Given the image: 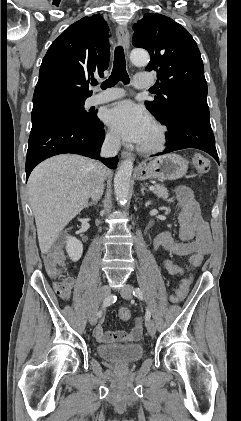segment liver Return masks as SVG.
<instances>
[{"mask_svg":"<svg viewBox=\"0 0 241 421\" xmlns=\"http://www.w3.org/2000/svg\"><path fill=\"white\" fill-rule=\"evenodd\" d=\"M95 167L96 162L89 158L62 154L45 160L32 171L27 188L42 254L50 250L63 228L88 204Z\"/></svg>","mask_w":241,"mask_h":421,"instance_id":"6515ba94","label":"liver"}]
</instances>
